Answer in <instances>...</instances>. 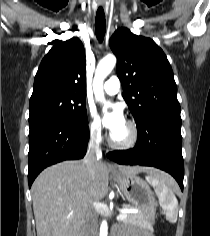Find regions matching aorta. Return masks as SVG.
<instances>
[{"mask_svg": "<svg viewBox=\"0 0 210 236\" xmlns=\"http://www.w3.org/2000/svg\"><path fill=\"white\" fill-rule=\"evenodd\" d=\"M115 65L116 57L113 54L106 55L97 65L93 82V90L95 98L99 102H103L105 100L103 81L111 73ZM107 229V222L106 220H104L101 224L100 236H102L103 233H105L107 236Z\"/></svg>", "mask_w": 210, "mask_h": 236, "instance_id": "aorta-1", "label": "aorta"}]
</instances>
